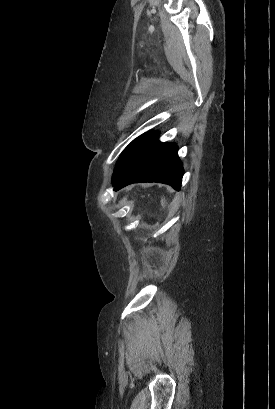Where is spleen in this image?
Listing matches in <instances>:
<instances>
[{
	"mask_svg": "<svg viewBox=\"0 0 275 409\" xmlns=\"http://www.w3.org/2000/svg\"><path fill=\"white\" fill-rule=\"evenodd\" d=\"M161 205H162V207H166V200H165V198H161Z\"/></svg>",
	"mask_w": 275,
	"mask_h": 409,
	"instance_id": "obj_1",
	"label": "spleen"
}]
</instances>
